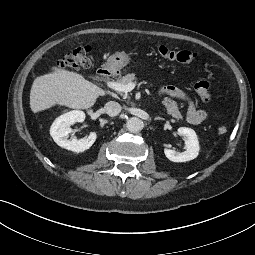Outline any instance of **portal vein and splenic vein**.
<instances>
[{
  "instance_id": "obj_1",
  "label": "portal vein and splenic vein",
  "mask_w": 255,
  "mask_h": 255,
  "mask_svg": "<svg viewBox=\"0 0 255 255\" xmlns=\"http://www.w3.org/2000/svg\"><path fill=\"white\" fill-rule=\"evenodd\" d=\"M107 86L117 92H124V93L130 92L135 88V84L133 82L124 85L118 82L108 81Z\"/></svg>"
}]
</instances>
